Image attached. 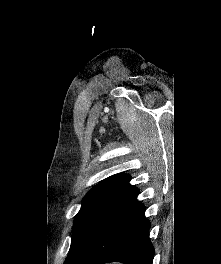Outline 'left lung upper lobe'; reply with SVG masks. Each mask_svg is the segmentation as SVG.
Here are the masks:
<instances>
[{"mask_svg": "<svg viewBox=\"0 0 221 264\" xmlns=\"http://www.w3.org/2000/svg\"><path fill=\"white\" fill-rule=\"evenodd\" d=\"M129 180L128 174L114 175L86 194L74 221L70 252L112 209L136 190Z\"/></svg>", "mask_w": 221, "mask_h": 264, "instance_id": "obj_1", "label": "left lung upper lobe"}]
</instances>
